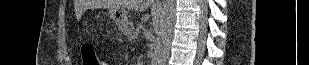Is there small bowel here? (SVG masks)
Segmentation results:
<instances>
[{"label": "small bowel", "instance_id": "1", "mask_svg": "<svg viewBox=\"0 0 309 65\" xmlns=\"http://www.w3.org/2000/svg\"><path fill=\"white\" fill-rule=\"evenodd\" d=\"M103 65H108L107 63H103Z\"/></svg>", "mask_w": 309, "mask_h": 65}]
</instances>
